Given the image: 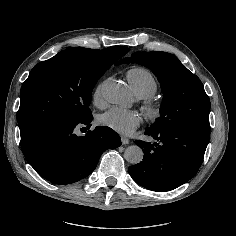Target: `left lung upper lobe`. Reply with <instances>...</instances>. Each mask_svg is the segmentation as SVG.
<instances>
[{
  "label": "left lung upper lobe",
  "mask_w": 236,
  "mask_h": 236,
  "mask_svg": "<svg viewBox=\"0 0 236 236\" xmlns=\"http://www.w3.org/2000/svg\"><path fill=\"white\" fill-rule=\"evenodd\" d=\"M137 63L148 67L158 77L163 91L160 117L148 128H198L210 131V100L200 79L179 59L161 51L135 52L116 65Z\"/></svg>",
  "instance_id": "left-lung-upper-lobe-1"
}]
</instances>
